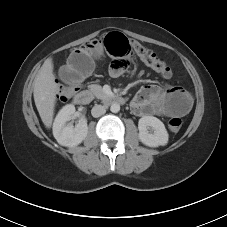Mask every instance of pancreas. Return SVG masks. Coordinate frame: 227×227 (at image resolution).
<instances>
[{
    "label": "pancreas",
    "mask_w": 227,
    "mask_h": 227,
    "mask_svg": "<svg viewBox=\"0 0 227 227\" xmlns=\"http://www.w3.org/2000/svg\"><path fill=\"white\" fill-rule=\"evenodd\" d=\"M90 90L99 99H105L107 97L100 85H91Z\"/></svg>",
    "instance_id": "obj_1"
}]
</instances>
